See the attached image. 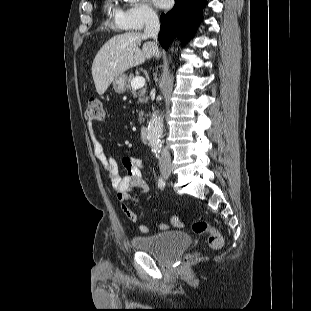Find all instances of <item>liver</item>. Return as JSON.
<instances>
[{
	"instance_id": "6515ba94",
	"label": "liver",
	"mask_w": 311,
	"mask_h": 311,
	"mask_svg": "<svg viewBox=\"0 0 311 311\" xmlns=\"http://www.w3.org/2000/svg\"><path fill=\"white\" fill-rule=\"evenodd\" d=\"M147 38L139 32H127L112 37L102 46L92 64V76L99 95H103L113 80L128 69L143 64L153 56H160L158 47L151 41L139 48Z\"/></svg>"
}]
</instances>
